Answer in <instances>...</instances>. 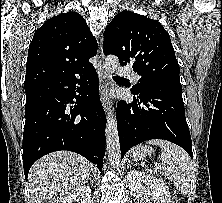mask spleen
Segmentation results:
<instances>
[{"instance_id":"3e777b00","label":"spleen","mask_w":222,"mask_h":203,"mask_svg":"<svg viewBox=\"0 0 222 203\" xmlns=\"http://www.w3.org/2000/svg\"><path fill=\"white\" fill-rule=\"evenodd\" d=\"M148 143L159 146L163 151L159 156L163 165L160 173L167 177L182 194H186L193 174V163L189 155L180 146L167 140L156 139Z\"/></svg>"}]
</instances>
